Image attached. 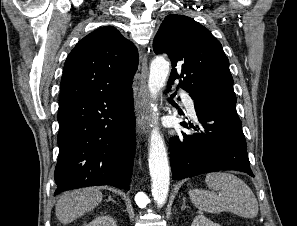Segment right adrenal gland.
<instances>
[{"instance_id":"obj_1","label":"right adrenal gland","mask_w":297,"mask_h":226,"mask_svg":"<svg viewBox=\"0 0 297 226\" xmlns=\"http://www.w3.org/2000/svg\"><path fill=\"white\" fill-rule=\"evenodd\" d=\"M109 200H111V201H113V202H115L111 197H109Z\"/></svg>"}]
</instances>
